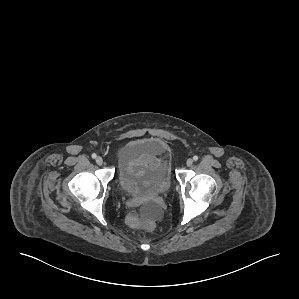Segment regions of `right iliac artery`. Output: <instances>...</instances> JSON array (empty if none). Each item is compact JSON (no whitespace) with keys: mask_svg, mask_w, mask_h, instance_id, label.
Wrapping results in <instances>:
<instances>
[{"mask_svg":"<svg viewBox=\"0 0 299 299\" xmlns=\"http://www.w3.org/2000/svg\"><path fill=\"white\" fill-rule=\"evenodd\" d=\"M91 157H92L93 159H95V158L97 157V155H96L95 153H93V154L91 155Z\"/></svg>","mask_w":299,"mask_h":299,"instance_id":"right-iliac-artery-1","label":"right iliac artery"}]
</instances>
